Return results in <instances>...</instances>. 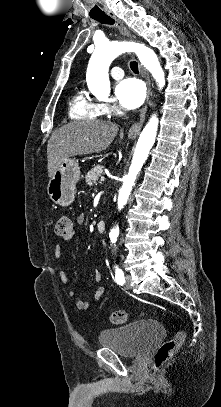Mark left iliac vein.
<instances>
[{
	"label": "left iliac vein",
	"mask_w": 221,
	"mask_h": 407,
	"mask_svg": "<svg viewBox=\"0 0 221 407\" xmlns=\"http://www.w3.org/2000/svg\"><path fill=\"white\" fill-rule=\"evenodd\" d=\"M131 281H132V276H131L130 274H127V275L125 276V287H126L127 289H131V288H132V286H131Z\"/></svg>",
	"instance_id": "obj_1"
}]
</instances>
